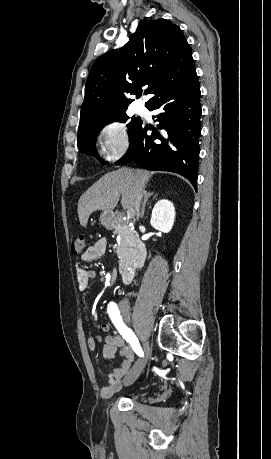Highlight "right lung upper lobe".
<instances>
[{
    "label": "right lung upper lobe",
    "instance_id": "right-lung-upper-lobe-1",
    "mask_svg": "<svg viewBox=\"0 0 271 459\" xmlns=\"http://www.w3.org/2000/svg\"><path fill=\"white\" fill-rule=\"evenodd\" d=\"M195 71L189 44L180 28L159 18L143 20L121 49L99 57L85 86L80 122L123 113L137 97L154 96L169 83Z\"/></svg>",
    "mask_w": 271,
    "mask_h": 459
}]
</instances>
